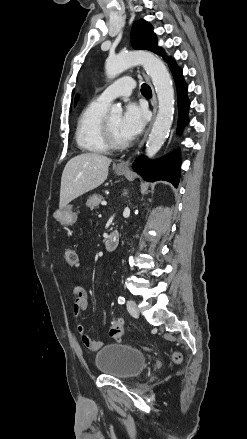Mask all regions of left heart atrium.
Returning <instances> with one entry per match:
<instances>
[{
  "label": "left heart atrium",
  "instance_id": "39dd6f15",
  "mask_svg": "<svg viewBox=\"0 0 247 439\" xmlns=\"http://www.w3.org/2000/svg\"><path fill=\"white\" fill-rule=\"evenodd\" d=\"M146 120V110L135 103H129L120 119L119 130L121 135L126 141L133 140L144 129Z\"/></svg>",
  "mask_w": 247,
  "mask_h": 439
}]
</instances>
